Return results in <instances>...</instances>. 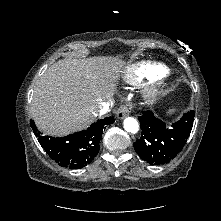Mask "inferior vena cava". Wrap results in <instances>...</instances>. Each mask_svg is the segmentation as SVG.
Wrapping results in <instances>:
<instances>
[{"instance_id":"602c4592","label":"inferior vena cava","mask_w":221,"mask_h":221,"mask_svg":"<svg viewBox=\"0 0 221 221\" xmlns=\"http://www.w3.org/2000/svg\"><path fill=\"white\" fill-rule=\"evenodd\" d=\"M110 104L108 102H101L98 105V110L96 111L97 115L106 114L109 111Z\"/></svg>"}]
</instances>
